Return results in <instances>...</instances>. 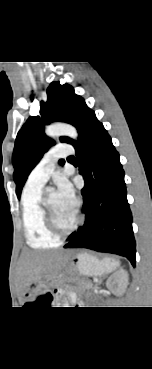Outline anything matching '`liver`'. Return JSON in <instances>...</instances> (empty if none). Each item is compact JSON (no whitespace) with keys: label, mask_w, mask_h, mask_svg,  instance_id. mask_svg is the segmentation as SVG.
<instances>
[{"label":"liver","mask_w":152,"mask_h":369,"mask_svg":"<svg viewBox=\"0 0 152 369\" xmlns=\"http://www.w3.org/2000/svg\"><path fill=\"white\" fill-rule=\"evenodd\" d=\"M65 254L56 252L25 251L20 257V274L23 285L43 279L56 271L64 261Z\"/></svg>","instance_id":"1"}]
</instances>
